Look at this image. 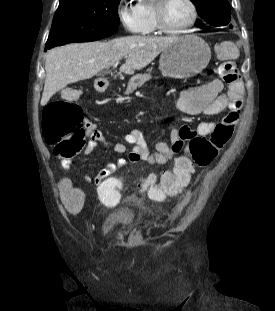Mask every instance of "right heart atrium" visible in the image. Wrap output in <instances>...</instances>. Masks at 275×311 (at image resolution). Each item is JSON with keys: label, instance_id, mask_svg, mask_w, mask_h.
Segmentation results:
<instances>
[{"label": "right heart atrium", "instance_id": "obj_1", "mask_svg": "<svg viewBox=\"0 0 275 311\" xmlns=\"http://www.w3.org/2000/svg\"><path fill=\"white\" fill-rule=\"evenodd\" d=\"M116 15L120 25L129 33H140L143 23L135 7L129 5L128 0H119L116 6Z\"/></svg>", "mask_w": 275, "mask_h": 311}]
</instances>
